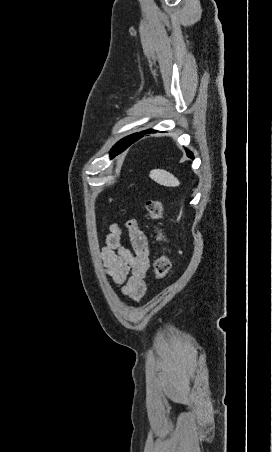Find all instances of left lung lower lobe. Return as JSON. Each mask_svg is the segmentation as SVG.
I'll return each mask as SVG.
<instances>
[{"instance_id":"left-lung-lower-lobe-1","label":"left lung lower lobe","mask_w":272,"mask_h":452,"mask_svg":"<svg viewBox=\"0 0 272 452\" xmlns=\"http://www.w3.org/2000/svg\"><path fill=\"white\" fill-rule=\"evenodd\" d=\"M153 132V130H147V131H142L140 133H136L127 143L128 146H130L132 143L136 142L137 140H139L143 135L148 134ZM123 140V139H122ZM120 140L115 146H113L112 150L110 151V157L113 158L115 155L120 154L121 152H123L125 149L121 148L120 146V142L122 141ZM187 156L190 158H194L193 154L187 150Z\"/></svg>"}]
</instances>
